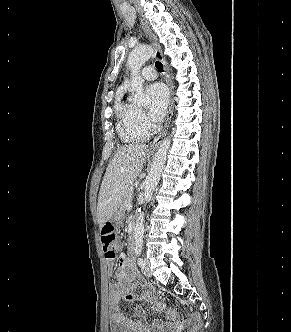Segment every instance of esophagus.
<instances>
[{"label": "esophagus", "mask_w": 291, "mask_h": 332, "mask_svg": "<svg viewBox=\"0 0 291 332\" xmlns=\"http://www.w3.org/2000/svg\"><path fill=\"white\" fill-rule=\"evenodd\" d=\"M140 23L141 26L146 34V36L148 37L149 41L151 42L153 49H154V56L157 60H159L162 64H163V69H164V74H165V79H166V83L168 85L169 88V93H170V101H169V109H168V114H167V119L165 122V126L163 131L150 143V147L151 148H157L162 140L164 139L172 114H173V84L172 81L170 79V73H169V69L167 66V62L162 54L161 51V47L160 44L158 43L155 35L153 34V32L151 31L149 25L144 21V19L140 18Z\"/></svg>", "instance_id": "esophagus-1"}]
</instances>
